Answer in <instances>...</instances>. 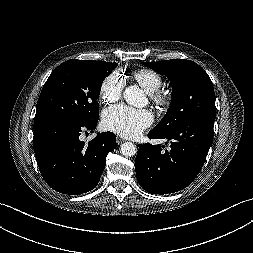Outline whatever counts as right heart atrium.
<instances>
[{"instance_id":"obj_1","label":"right heart atrium","mask_w":253,"mask_h":253,"mask_svg":"<svg viewBox=\"0 0 253 253\" xmlns=\"http://www.w3.org/2000/svg\"><path fill=\"white\" fill-rule=\"evenodd\" d=\"M124 80L118 73L109 74L101 83L100 99L105 104L117 102L123 92Z\"/></svg>"}]
</instances>
